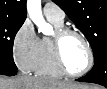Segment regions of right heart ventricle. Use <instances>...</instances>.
<instances>
[{
    "label": "right heart ventricle",
    "instance_id": "1",
    "mask_svg": "<svg viewBox=\"0 0 107 89\" xmlns=\"http://www.w3.org/2000/svg\"><path fill=\"white\" fill-rule=\"evenodd\" d=\"M54 28L60 29L63 27V22H58L54 19L47 18ZM33 71L40 76L59 78L64 76L62 71L57 66L52 48V37L44 36L40 39L38 57Z\"/></svg>",
    "mask_w": 107,
    "mask_h": 89
}]
</instances>
